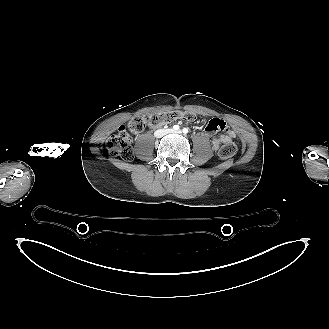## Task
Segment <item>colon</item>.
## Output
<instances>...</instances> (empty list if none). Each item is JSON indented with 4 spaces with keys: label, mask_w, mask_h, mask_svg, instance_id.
Returning <instances> with one entry per match:
<instances>
[{
    "label": "colon",
    "mask_w": 329,
    "mask_h": 329,
    "mask_svg": "<svg viewBox=\"0 0 329 329\" xmlns=\"http://www.w3.org/2000/svg\"><path fill=\"white\" fill-rule=\"evenodd\" d=\"M179 119L192 122L196 120V115L191 112L166 111L135 116L127 124L121 125L118 131L107 139V150L109 153L120 157L122 160L130 161L133 158L131 134H138L147 127H158ZM236 150L237 146L235 141L229 139L221 145L218 153L220 158L229 159L236 153Z\"/></svg>",
    "instance_id": "obj_1"
}]
</instances>
